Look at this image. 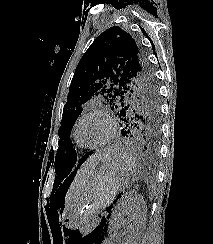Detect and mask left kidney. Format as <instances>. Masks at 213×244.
Returning a JSON list of instances; mask_svg holds the SVG:
<instances>
[{"instance_id":"5707ae66","label":"left kidney","mask_w":213,"mask_h":244,"mask_svg":"<svg viewBox=\"0 0 213 244\" xmlns=\"http://www.w3.org/2000/svg\"><path fill=\"white\" fill-rule=\"evenodd\" d=\"M142 203V199H134L132 195H128L121 199L114 209L112 216V233H110L109 244H114V239L118 237L117 226L124 220V216H128L130 224L128 225V234L124 238L122 244H137L136 243V232L139 229V212L137 211V204Z\"/></svg>"}]
</instances>
